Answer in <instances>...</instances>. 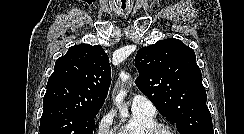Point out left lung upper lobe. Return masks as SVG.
I'll return each instance as SVG.
<instances>
[{"instance_id":"obj_1","label":"left lung upper lobe","mask_w":244,"mask_h":134,"mask_svg":"<svg viewBox=\"0 0 244 134\" xmlns=\"http://www.w3.org/2000/svg\"><path fill=\"white\" fill-rule=\"evenodd\" d=\"M135 66L136 85L180 134H214L193 49L178 39L160 40L137 52Z\"/></svg>"}]
</instances>
